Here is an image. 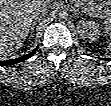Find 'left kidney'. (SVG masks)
<instances>
[{"label": "left kidney", "instance_id": "1", "mask_svg": "<svg viewBox=\"0 0 111 106\" xmlns=\"http://www.w3.org/2000/svg\"><path fill=\"white\" fill-rule=\"evenodd\" d=\"M78 29L81 38L89 42L97 40L101 33L99 25L92 20H81Z\"/></svg>", "mask_w": 111, "mask_h": 106}]
</instances>
